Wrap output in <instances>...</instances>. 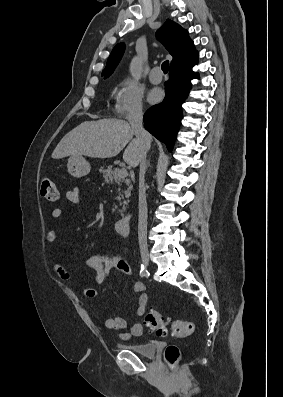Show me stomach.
Segmentation results:
<instances>
[{"label": "stomach", "mask_w": 283, "mask_h": 397, "mask_svg": "<svg viewBox=\"0 0 283 397\" xmlns=\"http://www.w3.org/2000/svg\"><path fill=\"white\" fill-rule=\"evenodd\" d=\"M90 164L82 156H71L68 159V173L76 178L83 177L90 172Z\"/></svg>", "instance_id": "obj_1"}]
</instances>
